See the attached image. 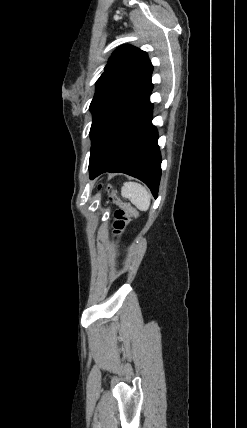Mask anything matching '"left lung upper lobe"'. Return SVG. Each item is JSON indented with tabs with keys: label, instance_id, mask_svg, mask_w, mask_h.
I'll list each match as a JSON object with an SVG mask.
<instances>
[{
	"label": "left lung upper lobe",
	"instance_id": "left-lung-upper-lobe-1",
	"mask_svg": "<svg viewBox=\"0 0 247 428\" xmlns=\"http://www.w3.org/2000/svg\"><path fill=\"white\" fill-rule=\"evenodd\" d=\"M153 66L146 52L131 45L114 51L105 71L96 82L90 104L93 122L90 129L92 145L109 118L125 103L149 88Z\"/></svg>",
	"mask_w": 247,
	"mask_h": 428
}]
</instances>
